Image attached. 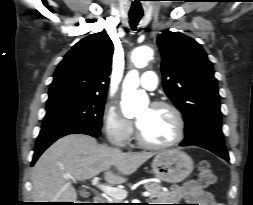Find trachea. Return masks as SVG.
<instances>
[{
  "label": "trachea",
  "mask_w": 253,
  "mask_h": 205,
  "mask_svg": "<svg viewBox=\"0 0 253 205\" xmlns=\"http://www.w3.org/2000/svg\"><path fill=\"white\" fill-rule=\"evenodd\" d=\"M142 13H129V19H130V26L132 30L136 29V26L138 25L140 19L142 18Z\"/></svg>",
  "instance_id": "trachea-1"
}]
</instances>
